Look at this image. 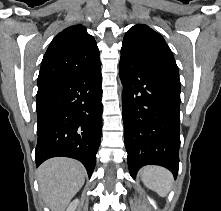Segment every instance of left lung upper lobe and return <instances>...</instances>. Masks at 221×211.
Here are the masks:
<instances>
[{"label": "left lung upper lobe", "mask_w": 221, "mask_h": 211, "mask_svg": "<svg viewBox=\"0 0 221 211\" xmlns=\"http://www.w3.org/2000/svg\"><path fill=\"white\" fill-rule=\"evenodd\" d=\"M120 60L180 81L178 67L169 46L159 33L147 25L137 24L127 31Z\"/></svg>", "instance_id": "obj_1"}]
</instances>
